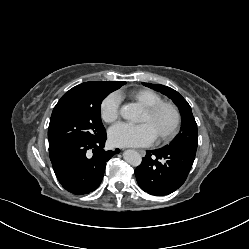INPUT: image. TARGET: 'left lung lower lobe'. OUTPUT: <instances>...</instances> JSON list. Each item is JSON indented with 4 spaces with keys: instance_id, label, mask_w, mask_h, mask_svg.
I'll use <instances>...</instances> for the list:
<instances>
[{
    "instance_id": "0a47b994",
    "label": "left lung lower lobe",
    "mask_w": 249,
    "mask_h": 249,
    "mask_svg": "<svg viewBox=\"0 0 249 249\" xmlns=\"http://www.w3.org/2000/svg\"><path fill=\"white\" fill-rule=\"evenodd\" d=\"M196 150L166 148L148 150L135 175L142 190L152 195H167L186 180L193 165Z\"/></svg>"
}]
</instances>
